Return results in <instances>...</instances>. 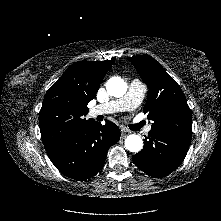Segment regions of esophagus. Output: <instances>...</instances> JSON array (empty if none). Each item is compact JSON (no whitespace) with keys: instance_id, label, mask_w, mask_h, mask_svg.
<instances>
[{"instance_id":"esophagus-1","label":"esophagus","mask_w":221,"mask_h":221,"mask_svg":"<svg viewBox=\"0 0 221 221\" xmlns=\"http://www.w3.org/2000/svg\"><path fill=\"white\" fill-rule=\"evenodd\" d=\"M129 134H130V131H129V130H127V129H121V135H122L123 138L126 137V136H128Z\"/></svg>"}]
</instances>
